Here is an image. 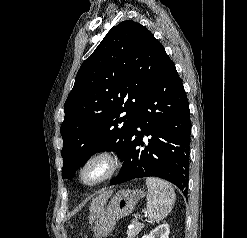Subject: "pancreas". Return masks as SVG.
<instances>
[{
  "instance_id": "cf45deb5",
  "label": "pancreas",
  "mask_w": 247,
  "mask_h": 238,
  "mask_svg": "<svg viewBox=\"0 0 247 238\" xmlns=\"http://www.w3.org/2000/svg\"><path fill=\"white\" fill-rule=\"evenodd\" d=\"M132 225L133 227L127 231V238H134L144 227L143 223H140L137 220H132Z\"/></svg>"
}]
</instances>
